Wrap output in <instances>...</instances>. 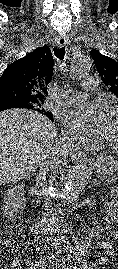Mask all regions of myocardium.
Listing matches in <instances>:
<instances>
[{
    "label": "myocardium",
    "mask_w": 118,
    "mask_h": 269,
    "mask_svg": "<svg viewBox=\"0 0 118 269\" xmlns=\"http://www.w3.org/2000/svg\"><path fill=\"white\" fill-rule=\"evenodd\" d=\"M111 112H118V104L112 106ZM102 145H107L110 148H112L113 150L118 151V143L106 141L105 143L102 142L101 144H98L97 147H100Z\"/></svg>",
    "instance_id": "obj_1"
}]
</instances>
